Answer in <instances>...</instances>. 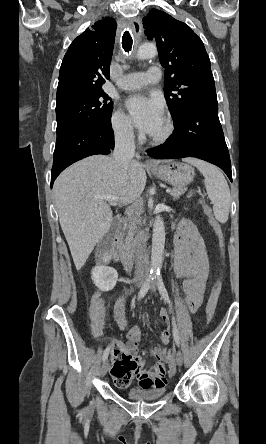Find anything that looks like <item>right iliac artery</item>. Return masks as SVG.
<instances>
[{"instance_id":"right-iliac-artery-1","label":"right iliac artery","mask_w":266,"mask_h":444,"mask_svg":"<svg viewBox=\"0 0 266 444\" xmlns=\"http://www.w3.org/2000/svg\"><path fill=\"white\" fill-rule=\"evenodd\" d=\"M154 279V275L150 274L147 278V280L145 281L144 285L141 287L139 293H138V300L142 299L146 293L148 292L149 288H150V284ZM109 351H110V346H108L103 353L102 356V360L104 361L105 359H107L108 355H109Z\"/></svg>"}]
</instances>
